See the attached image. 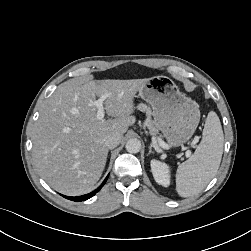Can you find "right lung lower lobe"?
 <instances>
[{
    "label": "right lung lower lobe",
    "instance_id": "right-lung-lower-lobe-1",
    "mask_svg": "<svg viewBox=\"0 0 251 251\" xmlns=\"http://www.w3.org/2000/svg\"><path fill=\"white\" fill-rule=\"evenodd\" d=\"M107 179H108V176L105 178L103 183L96 190H94L93 192H91L89 194L78 196V197H70V196H64V195H62V196L69 199V200H72V201H85V200L91 198L92 196H94L103 187V185L106 183Z\"/></svg>",
    "mask_w": 251,
    "mask_h": 251
}]
</instances>
